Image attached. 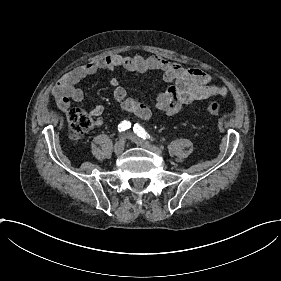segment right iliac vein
<instances>
[{"label": "right iliac vein", "mask_w": 281, "mask_h": 281, "mask_svg": "<svg viewBox=\"0 0 281 281\" xmlns=\"http://www.w3.org/2000/svg\"><path fill=\"white\" fill-rule=\"evenodd\" d=\"M114 148H115V149H114V152H115V154H117V155L122 154L123 149H124L122 143H120V142L115 143Z\"/></svg>", "instance_id": "obj_1"}]
</instances>
